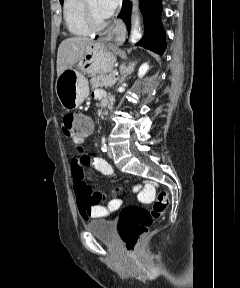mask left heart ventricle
Returning a JSON list of instances; mask_svg holds the SVG:
<instances>
[{"mask_svg": "<svg viewBox=\"0 0 240 288\" xmlns=\"http://www.w3.org/2000/svg\"><path fill=\"white\" fill-rule=\"evenodd\" d=\"M88 4L93 12V15L97 21H104L106 18L100 13L98 9L97 0H87Z\"/></svg>", "mask_w": 240, "mask_h": 288, "instance_id": "b2bd125f", "label": "left heart ventricle"}]
</instances>
